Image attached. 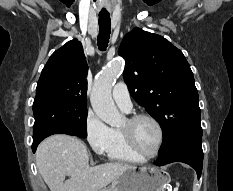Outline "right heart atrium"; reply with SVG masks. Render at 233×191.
Masks as SVG:
<instances>
[{
    "instance_id": "d8ad5b80",
    "label": "right heart atrium",
    "mask_w": 233,
    "mask_h": 191,
    "mask_svg": "<svg viewBox=\"0 0 233 191\" xmlns=\"http://www.w3.org/2000/svg\"><path fill=\"white\" fill-rule=\"evenodd\" d=\"M85 134L89 145L96 154L107 153L112 143V129L92 112H89L86 117Z\"/></svg>"
}]
</instances>
